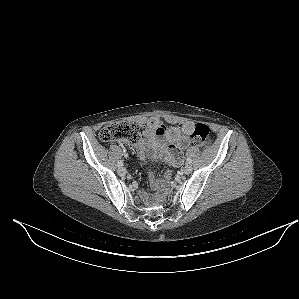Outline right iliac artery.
<instances>
[{"label": "right iliac artery", "mask_w": 299, "mask_h": 299, "mask_svg": "<svg viewBox=\"0 0 299 299\" xmlns=\"http://www.w3.org/2000/svg\"><path fill=\"white\" fill-rule=\"evenodd\" d=\"M118 167L122 166L123 165V161L120 160L118 163H117Z\"/></svg>", "instance_id": "82829eb1"}]
</instances>
